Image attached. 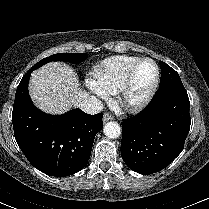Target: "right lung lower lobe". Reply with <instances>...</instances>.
<instances>
[{"label": "right lung lower lobe", "mask_w": 209, "mask_h": 209, "mask_svg": "<svg viewBox=\"0 0 209 209\" xmlns=\"http://www.w3.org/2000/svg\"><path fill=\"white\" fill-rule=\"evenodd\" d=\"M31 72L23 76L16 90L12 112L15 139L38 170L58 177L74 174L90 157L95 135L103 127V114L89 115L80 109L57 116L43 113L28 93Z\"/></svg>", "instance_id": "1"}]
</instances>
